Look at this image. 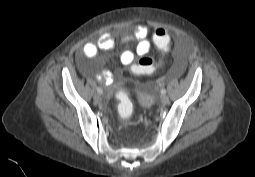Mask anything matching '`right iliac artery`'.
Here are the masks:
<instances>
[{
	"instance_id": "82829eb1",
	"label": "right iliac artery",
	"mask_w": 255,
	"mask_h": 177,
	"mask_svg": "<svg viewBox=\"0 0 255 177\" xmlns=\"http://www.w3.org/2000/svg\"><path fill=\"white\" fill-rule=\"evenodd\" d=\"M97 92H98L99 94H102V93H103V90H102L100 87H98V88H97Z\"/></svg>"
}]
</instances>
